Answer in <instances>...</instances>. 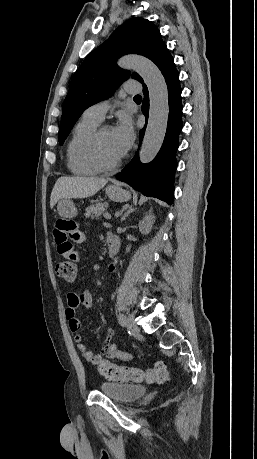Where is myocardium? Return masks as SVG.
I'll list each match as a JSON object with an SVG mask.
<instances>
[{
    "label": "myocardium",
    "mask_w": 257,
    "mask_h": 459,
    "mask_svg": "<svg viewBox=\"0 0 257 459\" xmlns=\"http://www.w3.org/2000/svg\"><path fill=\"white\" fill-rule=\"evenodd\" d=\"M111 129L107 124L99 125L90 135L86 144V154L89 160L100 170L110 171L116 169L122 162L123 156L112 162H107L103 159L99 149V142L102 133Z\"/></svg>",
    "instance_id": "obj_1"
}]
</instances>
